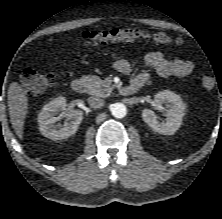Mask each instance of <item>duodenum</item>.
Masks as SVG:
<instances>
[{"instance_id": "410a0bca", "label": "duodenum", "mask_w": 222, "mask_h": 219, "mask_svg": "<svg viewBox=\"0 0 222 219\" xmlns=\"http://www.w3.org/2000/svg\"><path fill=\"white\" fill-rule=\"evenodd\" d=\"M142 84L139 82H133L130 85L123 86L120 89L122 94H134L141 88ZM71 89L77 94L84 93L86 90V81L82 78H75L71 82Z\"/></svg>"}]
</instances>
